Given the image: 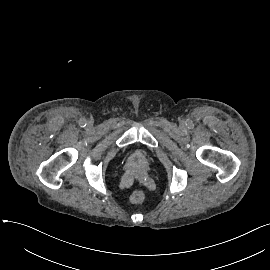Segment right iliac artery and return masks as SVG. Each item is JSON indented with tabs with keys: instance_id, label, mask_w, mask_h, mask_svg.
Returning a JSON list of instances; mask_svg holds the SVG:
<instances>
[{
	"instance_id": "82829eb1",
	"label": "right iliac artery",
	"mask_w": 270,
	"mask_h": 270,
	"mask_svg": "<svg viewBox=\"0 0 270 270\" xmlns=\"http://www.w3.org/2000/svg\"><path fill=\"white\" fill-rule=\"evenodd\" d=\"M79 125L81 127H85L86 126V121L84 119H81L80 122H79Z\"/></svg>"
}]
</instances>
